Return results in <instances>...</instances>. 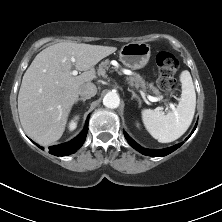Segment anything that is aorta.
Instances as JSON below:
<instances>
[{
    "label": "aorta",
    "mask_w": 222,
    "mask_h": 222,
    "mask_svg": "<svg viewBox=\"0 0 222 222\" xmlns=\"http://www.w3.org/2000/svg\"><path fill=\"white\" fill-rule=\"evenodd\" d=\"M103 104L107 108H117L120 104L119 95L113 91L108 92L103 98Z\"/></svg>",
    "instance_id": "1"
}]
</instances>
